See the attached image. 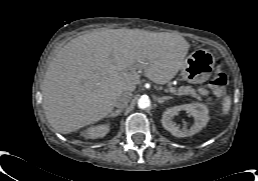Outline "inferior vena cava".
Masks as SVG:
<instances>
[{"label":"inferior vena cava","instance_id":"602c4592","mask_svg":"<svg viewBox=\"0 0 258 181\" xmlns=\"http://www.w3.org/2000/svg\"><path fill=\"white\" fill-rule=\"evenodd\" d=\"M132 94L131 93H123L118 96V98L115 101V107L119 109H124L129 101L131 100Z\"/></svg>","mask_w":258,"mask_h":181}]
</instances>
